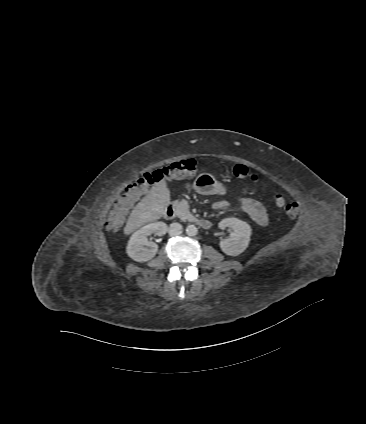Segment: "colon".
I'll list each match as a JSON object with an SVG mask.
<instances>
[{"mask_svg":"<svg viewBox=\"0 0 366 424\" xmlns=\"http://www.w3.org/2000/svg\"><path fill=\"white\" fill-rule=\"evenodd\" d=\"M199 171V163L194 159H187L142 174L126 188L125 193L115 202L106 219V227L109 230H117L123 223L124 215L129 205L148 187L164 179L173 180L192 177ZM228 172L237 178L250 179L253 182L258 180L257 174L251 173L246 166L241 164L228 167ZM274 200L276 206L282 208L287 217L293 218L297 215L298 205L296 203H286L284 196L277 191H274Z\"/></svg>","mask_w":366,"mask_h":424,"instance_id":"5ec220e1","label":"colon"}]
</instances>
